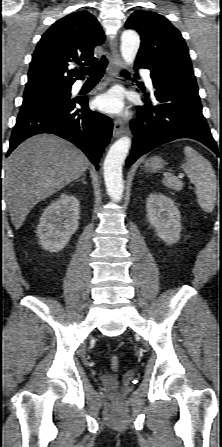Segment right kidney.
Instances as JSON below:
<instances>
[{"instance_id": "right-kidney-1", "label": "right kidney", "mask_w": 222, "mask_h": 447, "mask_svg": "<svg viewBox=\"0 0 222 447\" xmlns=\"http://www.w3.org/2000/svg\"><path fill=\"white\" fill-rule=\"evenodd\" d=\"M79 206V200L67 194L47 206L36 230L43 249L58 252L65 247L78 229Z\"/></svg>"}]
</instances>
